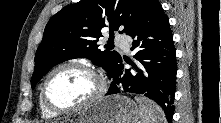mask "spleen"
I'll use <instances>...</instances> for the list:
<instances>
[{
  "instance_id": "3e777b00",
  "label": "spleen",
  "mask_w": 221,
  "mask_h": 123,
  "mask_svg": "<svg viewBox=\"0 0 221 123\" xmlns=\"http://www.w3.org/2000/svg\"><path fill=\"white\" fill-rule=\"evenodd\" d=\"M138 103L140 123H167L163 110L155 102L136 96Z\"/></svg>"
}]
</instances>
